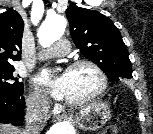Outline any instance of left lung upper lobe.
I'll use <instances>...</instances> for the list:
<instances>
[{"mask_svg": "<svg viewBox=\"0 0 153 134\" xmlns=\"http://www.w3.org/2000/svg\"><path fill=\"white\" fill-rule=\"evenodd\" d=\"M72 39L111 81L132 78L128 50L114 23L96 10L70 5L66 10Z\"/></svg>", "mask_w": 153, "mask_h": 134, "instance_id": "5c2ea615", "label": "left lung upper lobe"}]
</instances>
